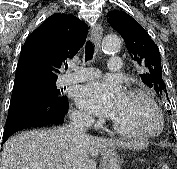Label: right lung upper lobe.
Returning <instances> with one entry per match:
<instances>
[{
  "instance_id": "cb5924a9",
  "label": "right lung upper lobe",
  "mask_w": 177,
  "mask_h": 169,
  "mask_svg": "<svg viewBox=\"0 0 177 169\" xmlns=\"http://www.w3.org/2000/svg\"><path fill=\"white\" fill-rule=\"evenodd\" d=\"M87 31V25L74 15H51L24 43L15 76L31 75L56 82L63 63L83 46Z\"/></svg>"
}]
</instances>
